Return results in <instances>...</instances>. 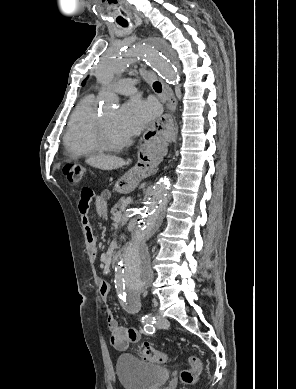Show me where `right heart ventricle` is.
Here are the masks:
<instances>
[{
	"instance_id": "e07e8e85",
	"label": "right heart ventricle",
	"mask_w": 296,
	"mask_h": 389,
	"mask_svg": "<svg viewBox=\"0 0 296 389\" xmlns=\"http://www.w3.org/2000/svg\"><path fill=\"white\" fill-rule=\"evenodd\" d=\"M98 117L93 95L86 96L73 112L64 136L65 148L71 156L89 157L103 151L96 137Z\"/></svg>"
}]
</instances>
